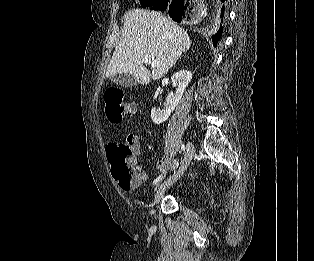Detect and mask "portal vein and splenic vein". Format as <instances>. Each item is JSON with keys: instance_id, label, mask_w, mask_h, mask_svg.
I'll return each mask as SVG.
<instances>
[{"instance_id": "18ae733b", "label": "portal vein and splenic vein", "mask_w": 314, "mask_h": 261, "mask_svg": "<svg viewBox=\"0 0 314 261\" xmlns=\"http://www.w3.org/2000/svg\"><path fill=\"white\" fill-rule=\"evenodd\" d=\"M142 61H143L144 63H146V64L151 63V67H152V68H154V67L157 66V62H156V61L150 62L147 57H143V58H142Z\"/></svg>"}]
</instances>
